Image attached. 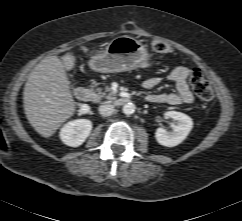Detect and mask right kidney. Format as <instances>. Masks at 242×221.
<instances>
[{"instance_id": "right-kidney-1", "label": "right kidney", "mask_w": 242, "mask_h": 221, "mask_svg": "<svg viewBox=\"0 0 242 221\" xmlns=\"http://www.w3.org/2000/svg\"><path fill=\"white\" fill-rule=\"evenodd\" d=\"M92 123L88 119H78L65 124L60 131L62 142L71 147L80 146L90 135Z\"/></svg>"}]
</instances>
